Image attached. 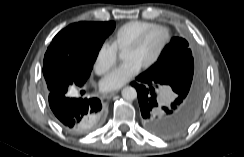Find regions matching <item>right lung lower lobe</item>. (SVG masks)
<instances>
[{
	"mask_svg": "<svg viewBox=\"0 0 244 157\" xmlns=\"http://www.w3.org/2000/svg\"><path fill=\"white\" fill-rule=\"evenodd\" d=\"M85 82L75 83L81 88ZM70 86V85H69ZM57 90L49 96V105L57 122L68 132L83 134L95 129L103 120L105 110L102 103L95 97H82L84 91H80L81 97L68 96V87Z\"/></svg>",
	"mask_w": 244,
	"mask_h": 157,
	"instance_id": "1",
	"label": "right lung lower lobe"
}]
</instances>
